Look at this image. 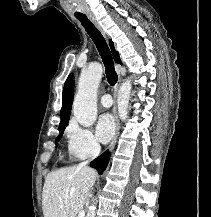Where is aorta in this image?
Segmentation results:
<instances>
[{"label":"aorta","mask_w":211,"mask_h":217,"mask_svg":"<svg viewBox=\"0 0 211 217\" xmlns=\"http://www.w3.org/2000/svg\"><path fill=\"white\" fill-rule=\"evenodd\" d=\"M103 68L100 63L91 64L82 70L78 83V91L73 103L75 119L84 127L94 124L97 117V90L102 78ZM132 89L131 80L126 79L118 91V113L121 120L128 116V103ZM96 199H93L87 217H95Z\"/></svg>","instance_id":"obj_1"}]
</instances>
